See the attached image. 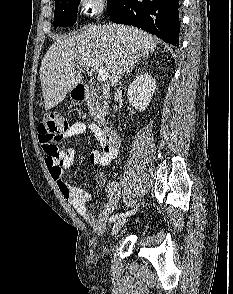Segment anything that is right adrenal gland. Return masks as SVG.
I'll return each mask as SVG.
<instances>
[{"label": "right adrenal gland", "mask_w": 233, "mask_h": 294, "mask_svg": "<svg viewBox=\"0 0 233 294\" xmlns=\"http://www.w3.org/2000/svg\"><path fill=\"white\" fill-rule=\"evenodd\" d=\"M134 67H135V66L131 67V69L127 71V74H129L130 71H132Z\"/></svg>", "instance_id": "1"}]
</instances>
